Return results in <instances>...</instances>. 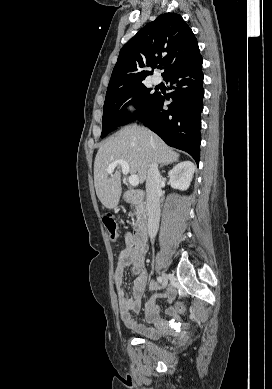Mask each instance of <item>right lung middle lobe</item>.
Returning a JSON list of instances; mask_svg holds the SVG:
<instances>
[{"mask_svg": "<svg viewBox=\"0 0 272 389\" xmlns=\"http://www.w3.org/2000/svg\"><path fill=\"white\" fill-rule=\"evenodd\" d=\"M158 95L159 92H152V89L145 87L143 83L107 92L103 110L101 138L118 126L135 120L157 99ZM129 104L137 107L134 114L126 111V106Z\"/></svg>", "mask_w": 272, "mask_h": 389, "instance_id": "dd1d6c3e", "label": "right lung middle lobe"}]
</instances>
